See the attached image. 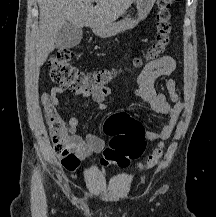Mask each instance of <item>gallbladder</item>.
I'll use <instances>...</instances> for the list:
<instances>
[{
    "instance_id": "obj_1",
    "label": "gallbladder",
    "mask_w": 216,
    "mask_h": 217,
    "mask_svg": "<svg viewBox=\"0 0 216 217\" xmlns=\"http://www.w3.org/2000/svg\"><path fill=\"white\" fill-rule=\"evenodd\" d=\"M82 39V29L67 22L60 30L57 41V49H67L77 46Z\"/></svg>"
}]
</instances>
